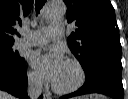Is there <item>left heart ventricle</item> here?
I'll list each match as a JSON object with an SVG mask.
<instances>
[{"mask_svg":"<svg viewBox=\"0 0 128 99\" xmlns=\"http://www.w3.org/2000/svg\"><path fill=\"white\" fill-rule=\"evenodd\" d=\"M78 71L76 67L68 62H65L54 84L61 88H67L74 85L78 80Z\"/></svg>","mask_w":128,"mask_h":99,"instance_id":"obj_1","label":"left heart ventricle"}]
</instances>
